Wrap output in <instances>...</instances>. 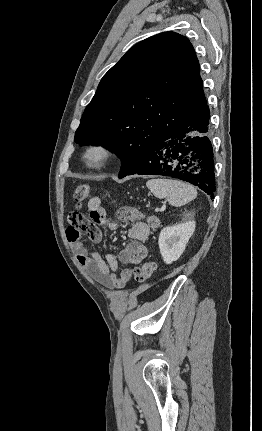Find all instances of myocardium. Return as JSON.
<instances>
[{
  "label": "myocardium",
  "mask_w": 262,
  "mask_h": 431,
  "mask_svg": "<svg viewBox=\"0 0 262 431\" xmlns=\"http://www.w3.org/2000/svg\"><path fill=\"white\" fill-rule=\"evenodd\" d=\"M114 157L113 148L104 142L90 144L83 154L85 166L94 170L106 167Z\"/></svg>",
  "instance_id": "myocardium-1"
}]
</instances>
